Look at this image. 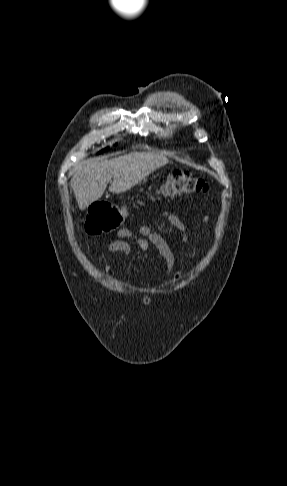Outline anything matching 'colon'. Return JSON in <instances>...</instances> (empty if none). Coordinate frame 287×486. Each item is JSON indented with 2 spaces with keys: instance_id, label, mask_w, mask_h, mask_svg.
<instances>
[{
  "instance_id": "colon-1",
  "label": "colon",
  "mask_w": 287,
  "mask_h": 486,
  "mask_svg": "<svg viewBox=\"0 0 287 486\" xmlns=\"http://www.w3.org/2000/svg\"><path fill=\"white\" fill-rule=\"evenodd\" d=\"M208 191V184L186 171L173 172L163 192L167 195H191ZM126 211L123 207L107 201L94 203L88 212L85 229L89 234L98 235L110 233L117 229L125 220Z\"/></svg>"
}]
</instances>
